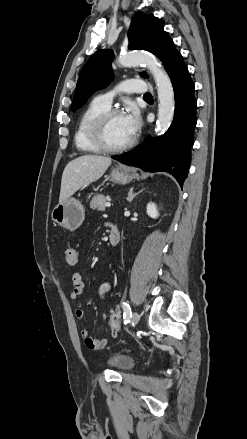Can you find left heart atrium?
Listing matches in <instances>:
<instances>
[{
    "label": "left heart atrium",
    "mask_w": 247,
    "mask_h": 439,
    "mask_svg": "<svg viewBox=\"0 0 247 439\" xmlns=\"http://www.w3.org/2000/svg\"><path fill=\"white\" fill-rule=\"evenodd\" d=\"M126 129L131 137H134L140 128V116L136 108L130 107L123 115Z\"/></svg>",
    "instance_id": "1"
}]
</instances>
